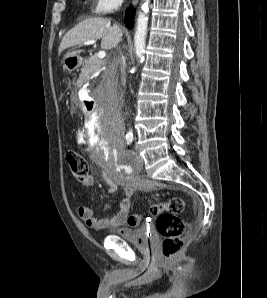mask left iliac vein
Segmentation results:
<instances>
[{"mask_svg":"<svg viewBox=\"0 0 267 298\" xmlns=\"http://www.w3.org/2000/svg\"><path fill=\"white\" fill-rule=\"evenodd\" d=\"M136 160L139 162V163H143V158L136 152Z\"/></svg>","mask_w":267,"mask_h":298,"instance_id":"4c4485c4","label":"left iliac vein"}]
</instances>
